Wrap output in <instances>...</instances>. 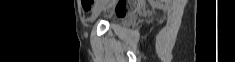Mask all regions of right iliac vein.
Returning <instances> with one entry per match:
<instances>
[{
  "label": "right iliac vein",
  "mask_w": 235,
  "mask_h": 62,
  "mask_svg": "<svg viewBox=\"0 0 235 62\" xmlns=\"http://www.w3.org/2000/svg\"><path fill=\"white\" fill-rule=\"evenodd\" d=\"M107 6V1H103L98 6L95 7L92 16H91V22H93L101 13V11Z\"/></svg>",
  "instance_id": "right-iliac-vein-1"
}]
</instances>
